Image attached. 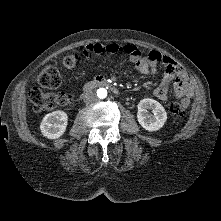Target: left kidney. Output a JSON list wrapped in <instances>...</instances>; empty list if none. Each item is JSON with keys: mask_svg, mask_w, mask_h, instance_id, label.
<instances>
[{"mask_svg": "<svg viewBox=\"0 0 221 221\" xmlns=\"http://www.w3.org/2000/svg\"><path fill=\"white\" fill-rule=\"evenodd\" d=\"M137 107V120L145 130L154 132L164 126L167 120V113L159 102L145 98L139 102ZM147 110H152L153 114H149Z\"/></svg>", "mask_w": 221, "mask_h": 221, "instance_id": "1", "label": "left kidney"}]
</instances>
